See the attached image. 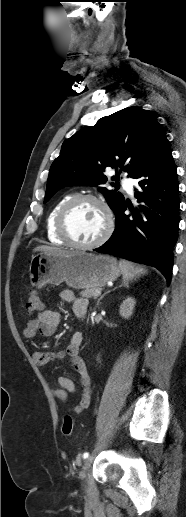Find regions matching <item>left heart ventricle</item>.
I'll return each mask as SVG.
<instances>
[{
    "instance_id": "left-heart-ventricle-1",
    "label": "left heart ventricle",
    "mask_w": 186,
    "mask_h": 517,
    "mask_svg": "<svg viewBox=\"0 0 186 517\" xmlns=\"http://www.w3.org/2000/svg\"><path fill=\"white\" fill-rule=\"evenodd\" d=\"M106 218L100 206L91 201L79 203L68 219L71 237L79 243H91L103 233Z\"/></svg>"
}]
</instances>
